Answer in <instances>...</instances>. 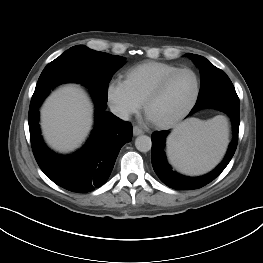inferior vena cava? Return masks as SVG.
<instances>
[{
    "label": "inferior vena cava",
    "mask_w": 263,
    "mask_h": 263,
    "mask_svg": "<svg viewBox=\"0 0 263 263\" xmlns=\"http://www.w3.org/2000/svg\"><path fill=\"white\" fill-rule=\"evenodd\" d=\"M110 110L114 115H116L120 119L125 121L129 120V114L125 109L120 108L118 106H111Z\"/></svg>",
    "instance_id": "inferior-vena-cava-1"
}]
</instances>
